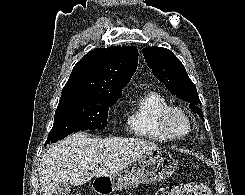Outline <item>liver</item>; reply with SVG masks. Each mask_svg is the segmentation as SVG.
<instances>
[{"instance_id":"6515ba94","label":"liver","mask_w":245,"mask_h":195,"mask_svg":"<svg viewBox=\"0 0 245 195\" xmlns=\"http://www.w3.org/2000/svg\"><path fill=\"white\" fill-rule=\"evenodd\" d=\"M158 150L153 142L137 138H92L77 132L53 145L39 165L40 195H52L60 183L82 185L93 177H110L141 155ZM96 165L90 172L89 167Z\"/></svg>"}]
</instances>
